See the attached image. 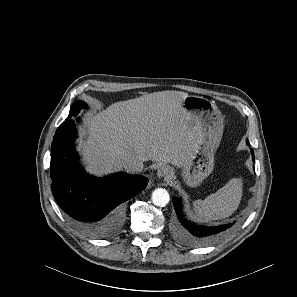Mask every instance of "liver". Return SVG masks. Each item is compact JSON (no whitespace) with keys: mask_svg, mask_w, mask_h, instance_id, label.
I'll return each instance as SVG.
<instances>
[{"mask_svg":"<svg viewBox=\"0 0 297 297\" xmlns=\"http://www.w3.org/2000/svg\"><path fill=\"white\" fill-rule=\"evenodd\" d=\"M181 91H161L111 104L85 117L78 141L94 174L118 171L130 157L181 166L196 146L199 129L184 115Z\"/></svg>","mask_w":297,"mask_h":297,"instance_id":"6515ba94","label":"liver"}]
</instances>
